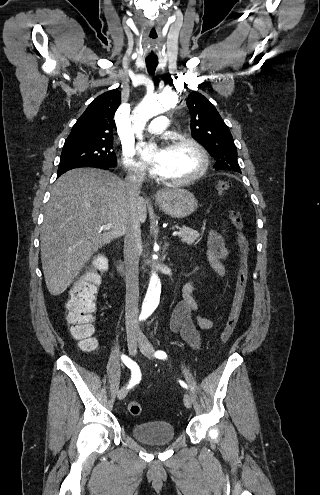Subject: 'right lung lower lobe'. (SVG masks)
<instances>
[{"mask_svg": "<svg viewBox=\"0 0 320 495\" xmlns=\"http://www.w3.org/2000/svg\"><path fill=\"white\" fill-rule=\"evenodd\" d=\"M85 167H96V168H101V169H109L111 168L110 166H106V165H89V166H85ZM63 173H58L57 175V178L62 175Z\"/></svg>", "mask_w": 320, "mask_h": 495, "instance_id": "1", "label": "right lung lower lobe"}]
</instances>
